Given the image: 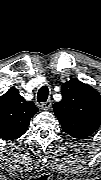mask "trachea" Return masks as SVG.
<instances>
[{"mask_svg": "<svg viewBox=\"0 0 101 180\" xmlns=\"http://www.w3.org/2000/svg\"><path fill=\"white\" fill-rule=\"evenodd\" d=\"M49 96V89L47 86H42L39 90H38V94H37V101L39 103L41 102H46Z\"/></svg>", "mask_w": 101, "mask_h": 180, "instance_id": "obj_1", "label": "trachea"}]
</instances>
